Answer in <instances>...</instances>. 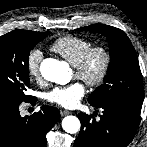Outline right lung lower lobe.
Instances as JSON below:
<instances>
[{"instance_id": "right-lung-lower-lobe-1", "label": "right lung lower lobe", "mask_w": 147, "mask_h": 147, "mask_svg": "<svg viewBox=\"0 0 147 147\" xmlns=\"http://www.w3.org/2000/svg\"><path fill=\"white\" fill-rule=\"evenodd\" d=\"M19 105L0 103V147H46V134L59 120V110L44 105L30 117H21Z\"/></svg>"}]
</instances>
